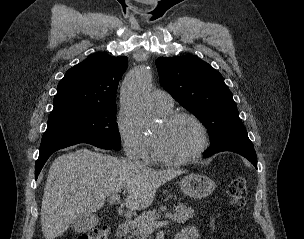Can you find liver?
<instances>
[{
    "instance_id": "1",
    "label": "liver",
    "mask_w": 304,
    "mask_h": 239,
    "mask_svg": "<svg viewBox=\"0 0 304 239\" xmlns=\"http://www.w3.org/2000/svg\"><path fill=\"white\" fill-rule=\"evenodd\" d=\"M182 173L133 166L129 160L86 148L63 154L49 169L40 213L42 233L45 239L61 236L75 218L100 210L107 197L122 191L129 210L145 209L162 184Z\"/></svg>"
}]
</instances>
